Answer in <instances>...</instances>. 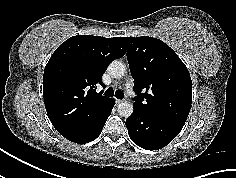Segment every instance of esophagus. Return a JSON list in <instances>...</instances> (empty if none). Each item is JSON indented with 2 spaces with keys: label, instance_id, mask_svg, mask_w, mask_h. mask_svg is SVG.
I'll list each match as a JSON object with an SVG mask.
<instances>
[{
  "label": "esophagus",
  "instance_id": "esophagus-1",
  "mask_svg": "<svg viewBox=\"0 0 236 178\" xmlns=\"http://www.w3.org/2000/svg\"><path fill=\"white\" fill-rule=\"evenodd\" d=\"M124 100H121V99H116V103L119 104V103H122Z\"/></svg>",
  "mask_w": 236,
  "mask_h": 178
}]
</instances>
